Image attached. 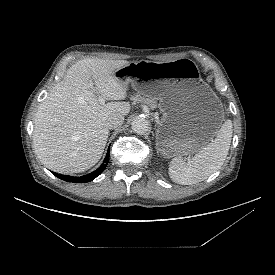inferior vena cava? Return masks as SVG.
I'll return each instance as SVG.
<instances>
[{
	"mask_svg": "<svg viewBox=\"0 0 275 275\" xmlns=\"http://www.w3.org/2000/svg\"><path fill=\"white\" fill-rule=\"evenodd\" d=\"M123 122H124V116L119 113H115V114L110 115L107 118L106 125L108 128L114 129V128H117L118 126L122 125Z\"/></svg>",
	"mask_w": 275,
	"mask_h": 275,
	"instance_id": "1",
	"label": "inferior vena cava"
}]
</instances>
